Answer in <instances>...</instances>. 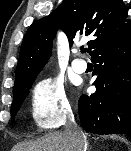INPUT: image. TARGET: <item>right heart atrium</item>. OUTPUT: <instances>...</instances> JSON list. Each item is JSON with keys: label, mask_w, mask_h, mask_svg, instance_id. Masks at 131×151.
<instances>
[{"label": "right heart atrium", "mask_w": 131, "mask_h": 151, "mask_svg": "<svg viewBox=\"0 0 131 151\" xmlns=\"http://www.w3.org/2000/svg\"><path fill=\"white\" fill-rule=\"evenodd\" d=\"M31 113L35 124L45 130L60 127L71 113V105L60 80L47 77L32 91Z\"/></svg>", "instance_id": "right-heart-atrium-1"}]
</instances>
